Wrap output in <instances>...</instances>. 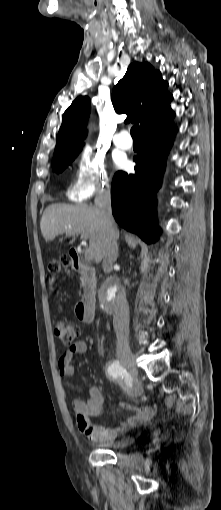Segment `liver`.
<instances>
[{
  "label": "liver",
  "instance_id": "obj_1",
  "mask_svg": "<svg viewBox=\"0 0 221 510\" xmlns=\"http://www.w3.org/2000/svg\"><path fill=\"white\" fill-rule=\"evenodd\" d=\"M40 228L46 241H53L64 233L67 236L85 233L89 239V248L94 252L95 262L99 263L104 258L108 236L97 207L86 204H51L42 215Z\"/></svg>",
  "mask_w": 221,
  "mask_h": 510
}]
</instances>
